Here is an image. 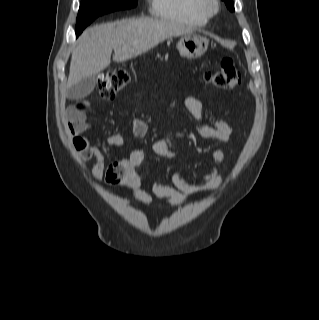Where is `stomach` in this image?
Listing matches in <instances>:
<instances>
[{
  "instance_id": "obj_1",
  "label": "stomach",
  "mask_w": 319,
  "mask_h": 320,
  "mask_svg": "<svg viewBox=\"0 0 319 320\" xmlns=\"http://www.w3.org/2000/svg\"><path fill=\"white\" fill-rule=\"evenodd\" d=\"M209 41L205 37L186 34L177 43L181 57L195 59L202 56L208 49Z\"/></svg>"
}]
</instances>
